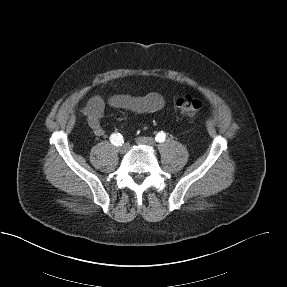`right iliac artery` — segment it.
Masks as SVG:
<instances>
[{
	"mask_svg": "<svg viewBox=\"0 0 287 287\" xmlns=\"http://www.w3.org/2000/svg\"><path fill=\"white\" fill-rule=\"evenodd\" d=\"M110 141L115 146H122V144L124 143L123 136L120 133H113L110 136Z\"/></svg>",
	"mask_w": 287,
	"mask_h": 287,
	"instance_id": "1",
	"label": "right iliac artery"
}]
</instances>
